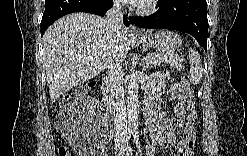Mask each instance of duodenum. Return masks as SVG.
I'll list each match as a JSON object with an SVG mask.
<instances>
[{
	"label": "duodenum",
	"mask_w": 247,
	"mask_h": 156,
	"mask_svg": "<svg viewBox=\"0 0 247 156\" xmlns=\"http://www.w3.org/2000/svg\"><path fill=\"white\" fill-rule=\"evenodd\" d=\"M102 92L103 95L106 98V105L109 107L113 102H114V98H112V88L109 82V79H105L103 86H102ZM143 116L145 119H150L152 116V111L150 108L145 107L143 109Z\"/></svg>",
	"instance_id": "1"
}]
</instances>
